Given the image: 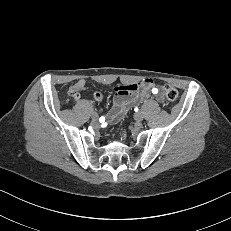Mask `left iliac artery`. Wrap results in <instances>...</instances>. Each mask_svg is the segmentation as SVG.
Returning <instances> with one entry per match:
<instances>
[{
	"mask_svg": "<svg viewBox=\"0 0 231 231\" xmlns=\"http://www.w3.org/2000/svg\"><path fill=\"white\" fill-rule=\"evenodd\" d=\"M152 93H153V94H157V93H158V89H157V88H153V89H152Z\"/></svg>",
	"mask_w": 231,
	"mask_h": 231,
	"instance_id": "left-iliac-artery-1",
	"label": "left iliac artery"
}]
</instances>
